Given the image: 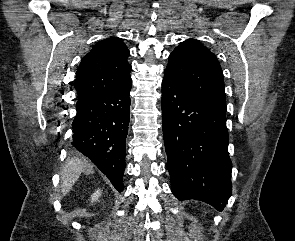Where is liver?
I'll return each mask as SVG.
<instances>
[{"instance_id": "1", "label": "liver", "mask_w": 295, "mask_h": 241, "mask_svg": "<svg viewBox=\"0 0 295 241\" xmlns=\"http://www.w3.org/2000/svg\"><path fill=\"white\" fill-rule=\"evenodd\" d=\"M93 165L86 159L71 158L64 165L61 175V192L66 195L70 192L82 173L91 174L94 172Z\"/></svg>"}]
</instances>
